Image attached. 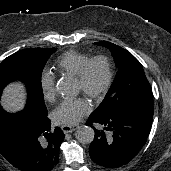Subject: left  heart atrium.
Wrapping results in <instances>:
<instances>
[{
  "label": "left heart atrium",
  "instance_id": "1",
  "mask_svg": "<svg viewBox=\"0 0 171 171\" xmlns=\"http://www.w3.org/2000/svg\"><path fill=\"white\" fill-rule=\"evenodd\" d=\"M90 111V105L84 98L63 100L52 113L58 124L73 125L78 123Z\"/></svg>",
  "mask_w": 171,
  "mask_h": 171
}]
</instances>
